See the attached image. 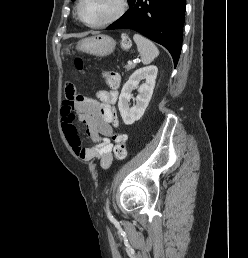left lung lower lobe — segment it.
<instances>
[{"instance_id":"obj_1","label":"left lung lower lobe","mask_w":248,"mask_h":258,"mask_svg":"<svg viewBox=\"0 0 248 258\" xmlns=\"http://www.w3.org/2000/svg\"><path fill=\"white\" fill-rule=\"evenodd\" d=\"M129 9L107 27L133 29L163 45L177 65L185 17V0H129Z\"/></svg>"}]
</instances>
